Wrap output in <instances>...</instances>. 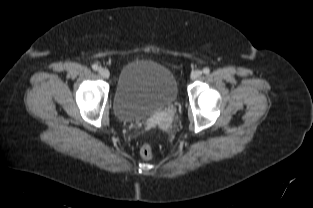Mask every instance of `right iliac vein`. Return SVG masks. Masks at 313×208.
<instances>
[{
  "label": "right iliac vein",
  "instance_id": "right-iliac-vein-1",
  "mask_svg": "<svg viewBox=\"0 0 313 208\" xmlns=\"http://www.w3.org/2000/svg\"><path fill=\"white\" fill-rule=\"evenodd\" d=\"M99 74L103 77V78H109L110 76V72L107 68H100L99 69Z\"/></svg>",
  "mask_w": 313,
  "mask_h": 208
}]
</instances>
